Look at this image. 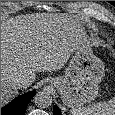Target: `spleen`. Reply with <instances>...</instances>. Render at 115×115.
Masks as SVG:
<instances>
[{"label": "spleen", "mask_w": 115, "mask_h": 115, "mask_svg": "<svg viewBox=\"0 0 115 115\" xmlns=\"http://www.w3.org/2000/svg\"><path fill=\"white\" fill-rule=\"evenodd\" d=\"M72 115H115V97L108 102H97L87 107L73 108Z\"/></svg>", "instance_id": "obj_1"}]
</instances>
